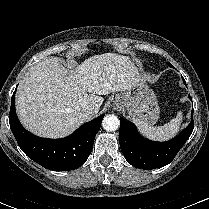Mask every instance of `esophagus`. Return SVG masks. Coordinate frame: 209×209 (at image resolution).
I'll return each mask as SVG.
<instances>
[{
	"label": "esophagus",
	"instance_id": "obj_1",
	"mask_svg": "<svg viewBox=\"0 0 209 209\" xmlns=\"http://www.w3.org/2000/svg\"><path fill=\"white\" fill-rule=\"evenodd\" d=\"M114 109H118V108H121V104L120 103H115L113 105Z\"/></svg>",
	"mask_w": 209,
	"mask_h": 209
}]
</instances>
